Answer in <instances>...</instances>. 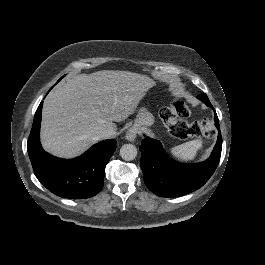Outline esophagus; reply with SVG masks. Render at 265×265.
Returning <instances> with one entry per match:
<instances>
[{
    "label": "esophagus",
    "instance_id": "esophagus-1",
    "mask_svg": "<svg viewBox=\"0 0 265 265\" xmlns=\"http://www.w3.org/2000/svg\"><path fill=\"white\" fill-rule=\"evenodd\" d=\"M137 133V129L135 127H131L126 133V139L133 141L136 138Z\"/></svg>",
    "mask_w": 265,
    "mask_h": 265
}]
</instances>
